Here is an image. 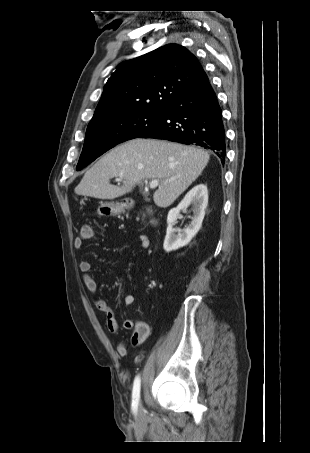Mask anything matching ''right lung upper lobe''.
Segmentation results:
<instances>
[{
	"mask_svg": "<svg viewBox=\"0 0 310 453\" xmlns=\"http://www.w3.org/2000/svg\"><path fill=\"white\" fill-rule=\"evenodd\" d=\"M205 74L198 59L177 44L125 61L105 84L91 121L123 112L164 110Z\"/></svg>",
	"mask_w": 310,
	"mask_h": 453,
	"instance_id": "1",
	"label": "right lung upper lobe"
}]
</instances>
